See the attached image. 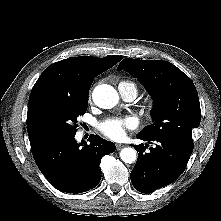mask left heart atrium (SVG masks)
Wrapping results in <instances>:
<instances>
[{"instance_id": "left-heart-atrium-1", "label": "left heart atrium", "mask_w": 221, "mask_h": 221, "mask_svg": "<svg viewBox=\"0 0 221 221\" xmlns=\"http://www.w3.org/2000/svg\"><path fill=\"white\" fill-rule=\"evenodd\" d=\"M136 126L137 121L134 117H113L103 121L99 129L108 138L120 140L124 138L128 129H134Z\"/></svg>"}]
</instances>
